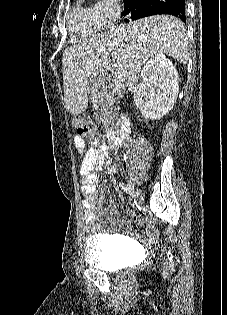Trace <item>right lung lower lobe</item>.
Masks as SVG:
<instances>
[{"label": "right lung lower lobe", "instance_id": "right-lung-lower-lobe-1", "mask_svg": "<svg viewBox=\"0 0 227 315\" xmlns=\"http://www.w3.org/2000/svg\"><path fill=\"white\" fill-rule=\"evenodd\" d=\"M156 14L174 15L185 22V0H124L121 16L129 22Z\"/></svg>", "mask_w": 227, "mask_h": 315}]
</instances>
